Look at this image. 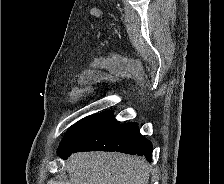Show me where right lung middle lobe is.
I'll use <instances>...</instances> for the list:
<instances>
[{"label": "right lung middle lobe", "mask_w": 224, "mask_h": 184, "mask_svg": "<svg viewBox=\"0 0 224 184\" xmlns=\"http://www.w3.org/2000/svg\"><path fill=\"white\" fill-rule=\"evenodd\" d=\"M112 114L113 111H105L81 119L67 130L59 146H68L76 142L84 134L107 120Z\"/></svg>", "instance_id": "dd1d6c3e"}]
</instances>
